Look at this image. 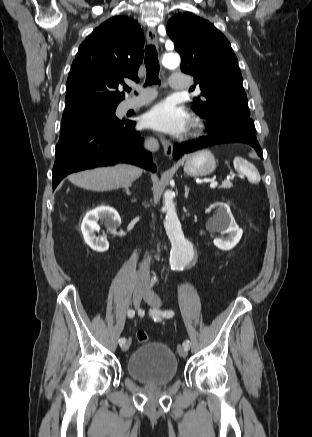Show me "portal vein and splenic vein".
<instances>
[{
	"instance_id": "obj_1",
	"label": "portal vein and splenic vein",
	"mask_w": 312,
	"mask_h": 437,
	"mask_svg": "<svg viewBox=\"0 0 312 437\" xmlns=\"http://www.w3.org/2000/svg\"><path fill=\"white\" fill-rule=\"evenodd\" d=\"M218 185V182L217 181H213L211 184H210V187L211 188H214V187H216Z\"/></svg>"
}]
</instances>
